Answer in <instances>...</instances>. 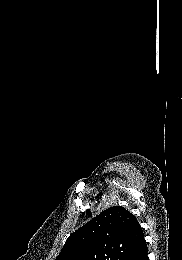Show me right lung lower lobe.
I'll return each instance as SVG.
<instances>
[{"mask_svg":"<svg viewBox=\"0 0 182 260\" xmlns=\"http://www.w3.org/2000/svg\"><path fill=\"white\" fill-rule=\"evenodd\" d=\"M127 260H149L147 244L143 245L139 250L134 252Z\"/></svg>","mask_w":182,"mask_h":260,"instance_id":"1","label":"right lung lower lobe"}]
</instances>
